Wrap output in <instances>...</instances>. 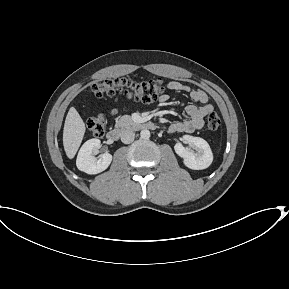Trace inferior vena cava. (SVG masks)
Instances as JSON below:
<instances>
[{"label": "inferior vena cava", "mask_w": 289, "mask_h": 289, "mask_svg": "<svg viewBox=\"0 0 289 289\" xmlns=\"http://www.w3.org/2000/svg\"><path fill=\"white\" fill-rule=\"evenodd\" d=\"M134 137H135V133L131 130H124L121 133V141L125 144H129L133 142Z\"/></svg>", "instance_id": "obj_1"}]
</instances>
